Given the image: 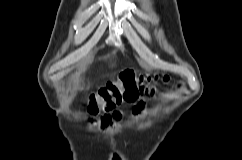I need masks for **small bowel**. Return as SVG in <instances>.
<instances>
[{"mask_svg": "<svg viewBox=\"0 0 242 160\" xmlns=\"http://www.w3.org/2000/svg\"><path fill=\"white\" fill-rule=\"evenodd\" d=\"M142 108H143L142 103H139V104L135 107V110H136V112H140V111L142 110ZM119 117H120V114L118 113V115H117L115 118H113V119H112V118L104 119V120H102V123H103V125H104L105 128H108V127L111 126L112 122H113L114 120L119 119Z\"/></svg>", "mask_w": 242, "mask_h": 160, "instance_id": "small-bowel-1", "label": "small bowel"}]
</instances>
